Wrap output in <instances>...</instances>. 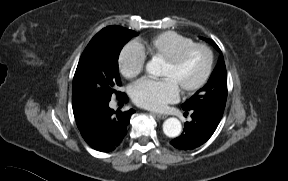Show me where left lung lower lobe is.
I'll return each mask as SVG.
<instances>
[{"instance_id":"left-lung-lower-lobe-1","label":"left lung lower lobe","mask_w":288,"mask_h":181,"mask_svg":"<svg viewBox=\"0 0 288 181\" xmlns=\"http://www.w3.org/2000/svg\"><path fill=\"white\" fill-rule=\"evenodd\" d=\"M190 113L192 121L187 122L183 133L171 141L177 149L192 150L201 146L212 136L221 120V117L201 109L192 110Z\"/></svg>"}]
</instances>
